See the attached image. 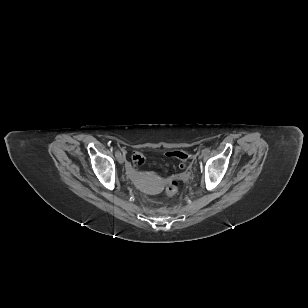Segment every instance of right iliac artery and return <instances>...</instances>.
Returning a JSON list of instances; mask_svg holds the SVG:
<instances>
[{
  "label": "right iliac artery",
  "instance_id": "1",
  "mask_svg": "<svg viewBox=\"0 0 308 308\" xmlns=\"http://www.w3.org/2000/svg\"><path fill=\"white\" fill-rule=\"evenodd\" d=\"M119 154H120V152H119V151H116V153H115L116 157H117Z\"/></svg>",
  "mask_w": 308,
  "mask_h": 308
}]
</instances>
